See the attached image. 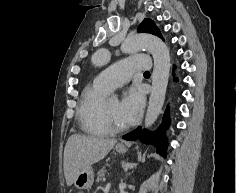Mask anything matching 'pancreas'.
Returning a JSON list of instances; mask_svg holds the SVG:
<instances>
[{
	"label": "pancreas",
	"mask_w": 237,
	"mask_h": 193,
	"mask_svg": "<svg viewBox=\"0 0 237 193\" xmlns=\"http://www.w3.org/2000/svg\"><path fill=\"white\" fill-rule=\"evenodd\" d=\"M105 166H103L97 173V179H96V182H100L102 180V178L104 177L105 175Z\"/></svg>",
	"instance_id": "obj_1"
}]
</instances>
